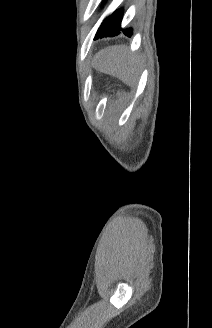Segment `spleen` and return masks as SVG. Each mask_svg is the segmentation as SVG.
Instances as JSON below:
<instances>
[{"label": "spleen", "mask_w": 212, "mask_h": 328, "mask_svg": "<svg viewBox=\"0 0 212 328\" xmlns=\"http://www.w3.org/2000/svg\"><path fill=\"white\" fill-rule=\"evenodd\" d=\"M119 78L124 81L127 85L131 86L136 81V75L134 73V69L131 67H125L118 74Z\"/></svg>", "instance_id": "3e777b00"}]
</instances>
